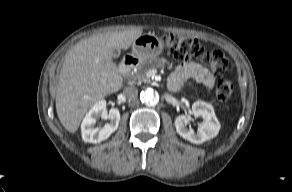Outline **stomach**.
<instances>
[{"instance_id":"obj_1","label":"stomach","mask_w":292,"mask_h":192,"mask_svg":"<svg viewBox=\"0 0 292 192\" xmlns=\"http://www.w3.org/2000/svg\"><path fill=\"white\" fill-rule=\"evenodd\" d=\"M162 40L154 34H144L132 44V56L140 60L154 59L163 51Z\"/></svg>"}]
</instances>
